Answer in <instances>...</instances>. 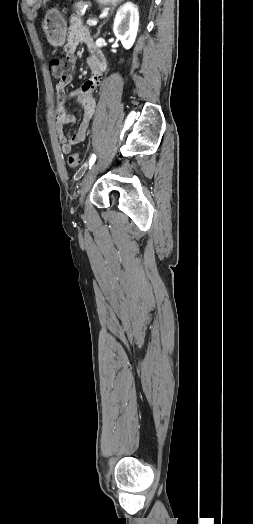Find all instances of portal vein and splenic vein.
Masks as SVG:
<instances>
[{
  "label": "portal vein and splenic vein",
  "instance_id": "obj_1",
  "mask_svg": "<svg viewBox=\"0 0 253 524\" xmlns=\"http://www.w3.org/2000/svg\"><path fill=\"white\" fill-rule=\"evenodd\" d=\"M87 24L90 26H95L97 25V21L95 19H88Z\"/></svg>",
  "mask_w": 253,
  "mask_h": 524
}]
</instances>
